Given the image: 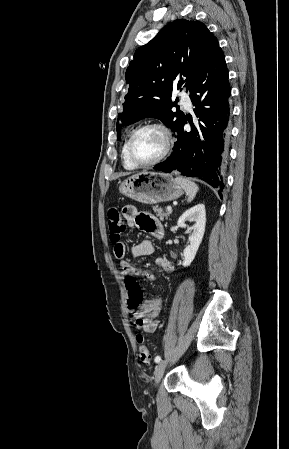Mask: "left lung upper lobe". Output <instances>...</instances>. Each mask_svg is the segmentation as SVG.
<instances>
[{
    "instance_id": "1",
    "label": "left lung upper lobe",
    "mask_w": 289,
    "mask_h": 449,
    "mask_svg": "<svg viewBox=\"0 0 289 449\" xmlns=\"http://www.w3.org/2000/svg\"><path fill=\"white\" fill-rule=\"evenodd\" d=\"M219 47L215 36L199 21L175 20L165 26L149 43L138 48L125 74L129 84L118 114L117 139L121 126L146 117H155L175 130L184 118L173 112V84L180 89L184 82L190 90L204 63ZM176 101H178L176 99Z\"/></svg>"
}]
</instances>
